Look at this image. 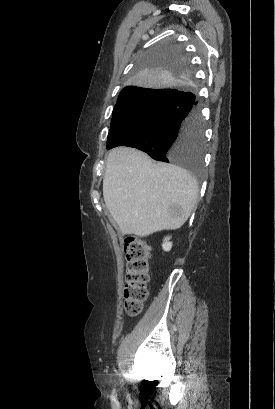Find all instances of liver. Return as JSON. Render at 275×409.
Returning <instances> with one entry per match:
<instances>
[{
    "instance_id": "6515ba94",
    "label": "liver",
    "mask_w": 275,
    "mask_h": 409,
    "mask_svg": "<svg viewBox=\"0 0 275 409\" xmlns=\"http://www.w3.org/2000/svg\"><path fill=\"white\" fill-rule=\"evenodd\" d=\"M103 196L123 235L147 237L184 225L195 207L198 184L182 166L152 162L141 150L117 146L107 156ZM171 207H181V217H173Z\"/></svg>"
}]
</instances>
